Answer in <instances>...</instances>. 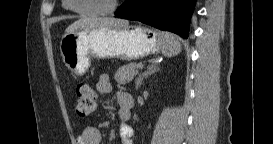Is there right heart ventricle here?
I'll list each match as a JSON object with an SVG mask.
<instances>
[{"label": "right heart ventricle", "mask_w": 273, "mask_h": 144, "mask_svg": "<svg viewBox=\"0 0 273 144\" xmlns=\"http://www.w3.org/2000/svg\"><path fill=\"white\" fill-rule=\"evenodd\" d=\"M63 5H64V7L68 8V2L67 1H64Z\"/></svg>", "instance_id": "1"}]
</instances>
